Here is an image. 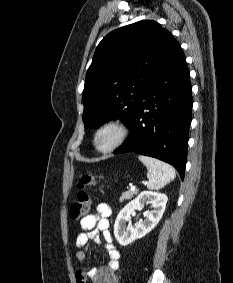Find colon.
I'll return each instance as SVG.
<instances>
[{"label": "colon", "instance_id": "colon-1", "mask_svg": "<svg viewBox=\"0 0 233 283\" xmlns=\"http://www.w3.org/2000/svg\"><path fill=\"white\" fill-rule=\"evenodd\" d=\"M96 183V178L91 175H83L80 178L77 185V200L70 207V217L73 220H82L89 215L92 200L88 190Z\"/></svg>", "mask_w": 233, "mask_h": 283}]
</instances>
